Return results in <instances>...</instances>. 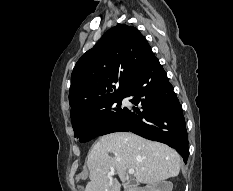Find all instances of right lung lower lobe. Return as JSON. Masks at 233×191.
<instances>
[{
  "label": "right lung lower lobe",
  "instance_id": "obj_1",
  "mask_svg": "<svg viewBox=\"0 0 233 191\" xmlns=\"http://www.w3.org/2000/svg\"><path fill=\"white\" fill-rule=\"evenodd\" d=\"M134 104L142 111L127 109L105 134L133 132L144 138L159 141L177 150L184 162L188 159V136L182 107L167 79V74L153 55L144 71L127 90Z\"/></svg>",
  "mask_w": 233,
  "mask_h": 191
}]
</instances>
